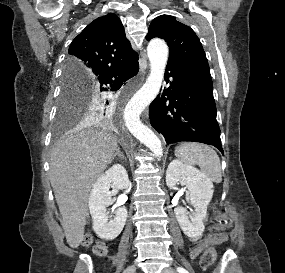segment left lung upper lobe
Segmentation results:
<instances>
[{
	"instance_id": "5c2ea615",
	"label": "left lung upper lobe",
	"mask_w": 285,
	"mask_h": 273,
	"mask_svg": "<svg viewBox=\"0 0 285 273\" xmlns=\"http://www.w3.org/2000/svg\"><path fill=\"white\" fill-rule=\"evenodd\" d=\"M164 39L170 49L168 62H173L184 72L211 80L208 61L199 38L194 31L170 15L156 17L149 26L147 40Z\"/></svg>"
}]
</instances>
